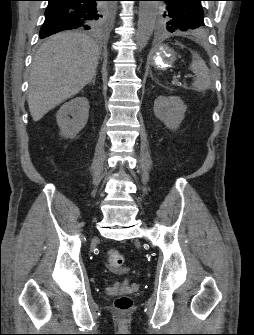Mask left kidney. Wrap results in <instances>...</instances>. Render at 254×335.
Instances as JSON below:
<instances>
[{"label": "left kidney", "instance_id": "obj_1", "mask_svg": "<svg viewBox=\"0 0 254 335\" xmlns=\"http://www.w3.org/2000/svg\"><path fill=\"white\" fill-rule=\"evenodd\" d=\"M187 106L180 97L177 96H158L154 101V114L161 120L167 128L175 130L179 127Z\"/></svg>", "mask_w": 254, "mask_h": 335}]
</instances>
